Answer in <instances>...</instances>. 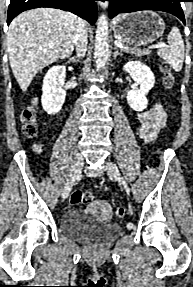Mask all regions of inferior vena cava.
Masks as SVG:
<instances>
[{"label": "inferior vena cava", "instance_id": "inferior-vena-cava-1", "mask_svg": "<svg viewBox=\"0 0 193 287\" xmlns=\"http://www.w3.org/2000/svg\"><path fill=\"white\" fill-rule=\"evenodd\" d=\"M87 27L86 22L78 18L77 30L74 38L77 56H84L87 49Z\"/></svg>", "mask_w": 193, "mask_h": 287}]
</instances>
